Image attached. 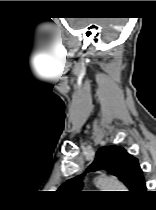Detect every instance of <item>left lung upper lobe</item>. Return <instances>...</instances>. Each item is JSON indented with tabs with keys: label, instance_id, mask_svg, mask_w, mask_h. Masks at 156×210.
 Returning <instances> with one entry per match:
<instances>
[{
	"label": "left lung upper lobe",
	"instance_id": "1",
	"mask_svg": "<svg viewBox=\"0 0 156 210\" xmlns=\"http://www.w3.org/2000/svg\"><path fill=\"white\" fill-rule=\"evenodd\" d=\"M104 168L110 174L122 181L131 192L139 193L146 189L143 171L137 158L129 154L126 149L119 146L101 147L96 153L94 162L88 167L85 173ZM67 180L59 191L78 192L82 189V178L84 174Z\"/></svg>",
	"mask_w": 156,
	"mask_h": 210
}]
</instances>
